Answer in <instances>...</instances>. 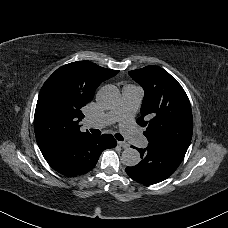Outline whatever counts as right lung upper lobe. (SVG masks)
Returning <instances> with one entry per match:
<instances>
[{"label": "right lung upper lobe", "instance_id": "obj_1", "mask_svg": "<svg viewBox=\"0 0 228 228\" xmlns=\"http://www.w3.org/2000/svg\"><path fill=\"white\" fill-rule=\"evenodd\" d=\"M119 71L90 61L73 62L58 68L42 86L35 110L34 130L42 153L67 141L90 135L81 132V108L96 88Z\"/></svg>", "mask_w": 228, "mask_h": 228}]
</instances>
